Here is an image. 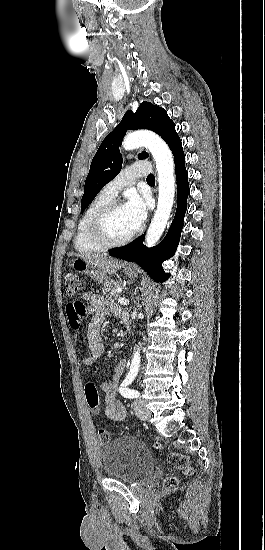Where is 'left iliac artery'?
Here are the masks:
<instances>
[{"label": "left iliac artery", "instance_id": "obj_1", "mask_svg": "<svg viewBox=\"0 0 265 550\" xmlns=\"http://www.w3.org/2000/svg\"><path fill=\"white\" fill-rule=\"evenodd\" d=\"M132 383V379H126L120 386L119 392L125 398H137L139 392L128 388V385Z\"/></svg>", "mask_w": 265, "mask_h": 550}]
</instances>
